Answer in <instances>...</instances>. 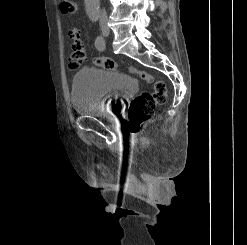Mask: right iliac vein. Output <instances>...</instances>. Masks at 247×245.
<instances>
[{"instance_id": "obj_1", "label": "right iliac vein", "mask_w": 247, "mask_h": 245, "mask_svg": "<svg viewBox=\"0 0 247 245\" xmlns=\"http://www.w3.org/2000/svg\"><path fill=\"white\" fill-rule=\"evenodd\" d=\"M102 33H103V35H107L109 33L108 28H106V27L102 28Z\"/></svg>"}]
</instances>
